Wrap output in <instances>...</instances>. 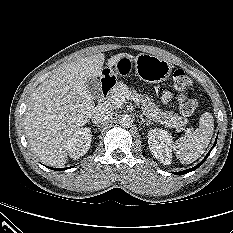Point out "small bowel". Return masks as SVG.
Listing matches in <instances>:
<instances>
[{"instance_id":"c3829d8e","label":"small bowel","mask_w":233,"mask_h":233,"mask_svg":"<svg viewBox=\"0 0 233 233\" xmlns=\"http://www.w3.org/2000/svg\"><path fill=\"white\" fill-rule=\"evenodd\" d=\"M164 102H168L171 99V93L165 92L162 96Z\"/></svg>"}]
</instances>
